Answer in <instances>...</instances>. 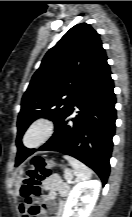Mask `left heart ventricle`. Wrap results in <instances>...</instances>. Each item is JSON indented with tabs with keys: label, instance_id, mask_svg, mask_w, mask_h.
<instances>
[{
	"label": "left heart ventricle",
	"instance_id": "left-heart-ventricle-1",
	"mask_svg": "<svg viewBox=\"0 0 132 217\" xmlns=\"http://www.w3.org/2000/svg\"><path fill=\"white\" fill-rule=\"evenodd\" d=\"M38 135L35 133V134H32L30 137H29V142H34L36 139H37Z\"/></svg>",
	"mask_w": 132,
	"mask_h": 217
}]
</instances>
